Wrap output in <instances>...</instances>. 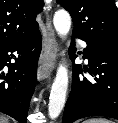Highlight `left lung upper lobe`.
I'll use <instances>...</instances> for the list:
<instances>
[{"label":"left lung upper lobe","mask_w":118,"mask_h":123,"mask_svg":"<svg viewBox=\"0 0 118 123\" xmlns=\"http://www.w3.org/2000/svg\"><path fill=\"white\" fill-rule=\"evenodd\" d=\"M73 20V34L118 51V10L114 0H56Z\"/></svg>","instance_id":"obj_1"}]
</instances>
